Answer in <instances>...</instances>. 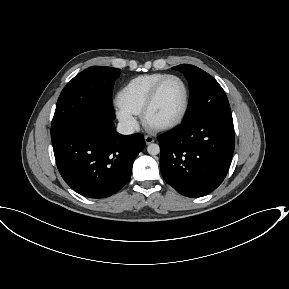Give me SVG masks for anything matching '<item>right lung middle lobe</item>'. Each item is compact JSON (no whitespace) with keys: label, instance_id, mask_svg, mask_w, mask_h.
<instances>
[{"label":"right lung middle lobe","instance_id":"dd1d6c3e","mask_svg":"<svg viewBox=\"0 0 289 289\" xmlns=\"http://www.w3.org/2000/svg\"><path fill=\"white\" fill-rule=\"evenodd\" d=\"M119 74L117 68L92 66L68 82L57 101L51 140L65 135L93 116L114 120L111 94Z\"/></svg>","mask_w":289,"mask_h":289}]
</instances>
